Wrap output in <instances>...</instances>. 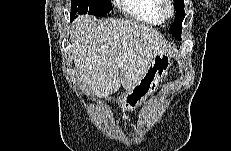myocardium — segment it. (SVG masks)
I'll return each mask as SVG.
<instances>
[{
  "instance_id": "f54148a6",
  "label": "myocardium",
  "mask_w": 231,
  "mask_h": 151,
  "mask_svg": "<svg viewBox=\"0 0 231 151\" xmlns=\"http://www.w3.org/2000/svg\"><path fill=\"white\" fill-rule=\"evenodd\" d=\"M161 14L164 18H171L174 15L173 2L170 0H161Z\"/></svg>"
}]
</instances>
